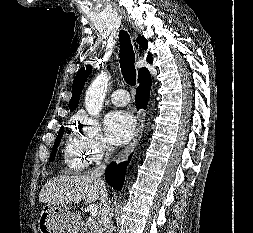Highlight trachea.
<instances>
[{
    "instance_id": "1",
    "label": "trachea",
    "mask_w": 253,
    "mask_h": 233,
    "mask_svg": "<svg viewBox=\"0 0 253 233\" xmlns=\"http://www.w3.org/2000/svg\"><path fill=\"white\" fill-rule=\"evenodd\" d=\"M120 41V67L122 75L127 84L134 86L136 84L135 54L130 41V37L126 31L119 33Z\"/></svg>"
}]
</instances>
